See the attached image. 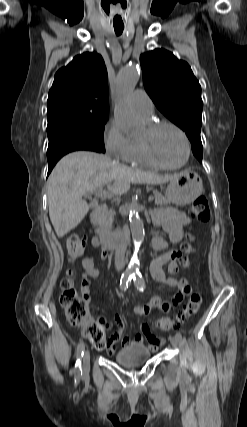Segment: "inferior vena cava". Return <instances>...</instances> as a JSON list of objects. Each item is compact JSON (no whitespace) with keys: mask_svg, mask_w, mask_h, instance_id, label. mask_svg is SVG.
<instances>
[{"mask_svg":"<svg viewBox=\"0 0 247 427\" xmlns=\"http://www.w3.org/2000/svg\"><path fill=\"white\" fill-rule=\"evenodd\" d=\"M115 236L117 239V246L115 249V268L122 270L125 266V253L127 249V240L123 236L120 228L115 230Z\"/></svg>","mask_w":247,"mask_h":427,"instance_id":"obj_1","label":"inferior vena cava"}]
</instances>
